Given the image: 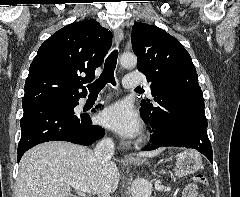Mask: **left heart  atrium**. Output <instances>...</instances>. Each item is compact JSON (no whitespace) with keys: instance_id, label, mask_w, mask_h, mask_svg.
<instances>
[{"instance_id":"39dd6f15","label":"left heart atrium","mask_w":240,"mask_h":197,"mask_svg":"<svg viewBox=\"0 0 240 197\" xmlns=\"http://www.w3.org/2000/svg\"><path fill=\"white\" fill-rule=\"evenodd\" d=\"M101 123L123 137H134L141 130V120L137 111L126 101L106 108L100 117Z\"/></svg>"}]
</instances>
